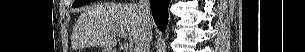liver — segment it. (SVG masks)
Returning a JSON list of instances; mask_svg holds the SVG:
<instances>
[{
  "instance_id": "6515ba94",
  "label": "liver",
  "mask_w": 305,
  "mask_h": 52,
  "mask_svg": "<svg viewBox=\"0 0 305 52\" xmlns=\"http://www.w3.org/2000/svg\"><path fill=\"white\" fill-rule=\"evenodd\" d=\"M76 28L90 44L108 50H112L117 44V37L122 33H128L129 42L135 45L144 34L137 5L132 4L92 6L80 15Z\"/></svg>"
}]
</instances>
